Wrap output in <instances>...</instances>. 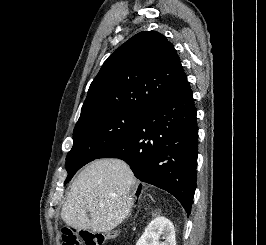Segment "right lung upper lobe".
<instances>
[{
	"label": "right lung upper lobe",
	"instance_id": "1",
	"mask_svg": "<svg viewBox=\"0 0 266 245\" xmlns=\"http://www.w3.org/2000/svg\"><path fill=\"white\" fill-rule=\"evenodd\" d=\"M185 83L172 43L159 32H140L104 62L89 87L80 118L109 108L146 111Z\"/></svg>",
	"mask_w": 266,
	"mask_h": 245
}]
</instances>
